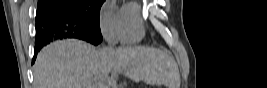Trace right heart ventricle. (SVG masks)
I'll return each instance as SVG.
<instances>
[{
	"mask_svg": "<svg viewBox=\"0 0 267 88\" xmlns=\"http://www.w3.org/2000/svg\"><path fill=\"white\" fill-rule=\"evenodd\" d=\"M140 5L136 2L125 4L121 9V41L131 44L140 41L145 29L140 18Z\"/></svg>",
	"mask_w": 267,
	"mask_h": 88,
	"instance_id": "e07e8e85",
	"label": "right heart ventricle"
}]
</instances>
